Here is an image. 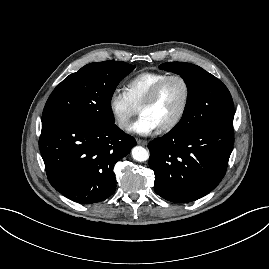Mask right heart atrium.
Listing matches in <instances>:
<instances>
[{"label": "right heart atrium", "mask_w": 269, "mask_h": 269, "mask_svg": "<svg viewBox=\"0 0 269 269\" xmlns=\"http://www.w3.org/2000/svg\"><path fill=\"white\" fill-rule=\"evenodd\" d=\"M108 109L114 123L121 130H126L132 117L137 113V108L129 101L125 92L116 89L108 99Z\"/></svg>", "instance_id": "1"}]
</instances>
